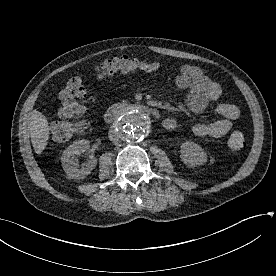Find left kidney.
<instances>
[{"label":"left kidney","instance_id":"obj_1","mask_svg":"<svg viewBox=\"0 0 276 276\" xmlns=\"http://www.w3.org/2000/svg\"><path fill=\"white\" fill-rule=\"evenodd\" d=\"M180 147V157L184 164L196 167L207 162V154L198 144L186 141Z\"/></svg>","mask_w":276,"mask_h":276}]
</instances>
